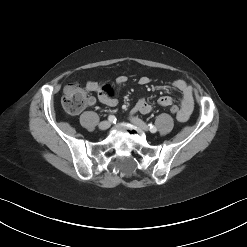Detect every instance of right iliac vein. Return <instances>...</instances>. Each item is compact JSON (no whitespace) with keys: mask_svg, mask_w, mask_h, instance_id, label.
<instances>
[{"mask_svg":"<svg viewBox=\"0 0 247 247\" xmlns=\"http://www.w3.org/2000/svg\"><path fill=\"white\" fill-rule=\"evenodd\" d=\"M111 126V123L109 121H102L99 124V129L100 130H107Z\"/></svg>","mask_w":247,"mask_h":247,"instance_id":"right-iliac-vein-1","label":"right iliac vein"}]
</instances>
